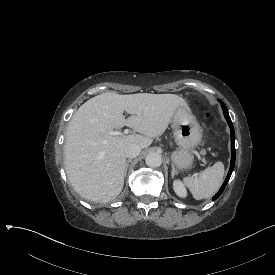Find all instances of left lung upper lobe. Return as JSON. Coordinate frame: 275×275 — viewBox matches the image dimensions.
<instances>
[{
  "label": "left lung upper lobe",
  "instance_id": "1",
  "mask_svg": "<svg viewBox=\"0 0 275 275\" xmlns=\"http://www.w3.org/2000/svg\"><path fill=\"white\" fill-rule=\"evenodd\" d=\"M221 103H222V101L221 100H219ZM222 105H224L223 103H222Z\"/></svg>",
  "mask_w": 275,
  "mask_h": 275
}]
</instances>
